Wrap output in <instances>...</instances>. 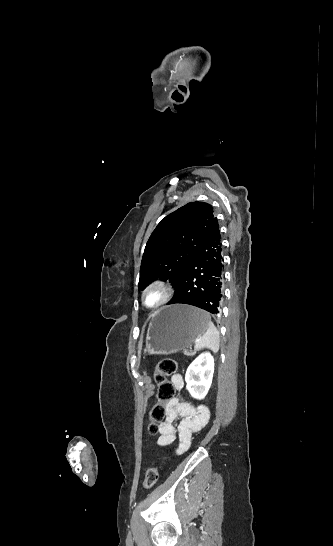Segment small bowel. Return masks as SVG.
<instances>
[{
    "label": "small bowel",
    "mask_w": 333,
    "mask_h": 546,
    "mask_svg": "<svg viewBox=\"0 0 333 546\" xmlns=\"http://www.w3.org/2000/svg\"><path fill=\"white\" fill-rule=\"evenodd\" d=\"M171 382L177 390H182L185 386L181 374L173 375ZM165 408V418L158 427L157 445L168 447L176 439H179V445L175 453L180 454L190 446L193 434L201 431L207 425L210 419V411L204 405L194 406L190 403L181 402L178 398L168 401ZM178 418H181V421L175 427L174 422Z\"/></svg>",
    "instance_id": "small-bowel-1"
}]
</instances>
